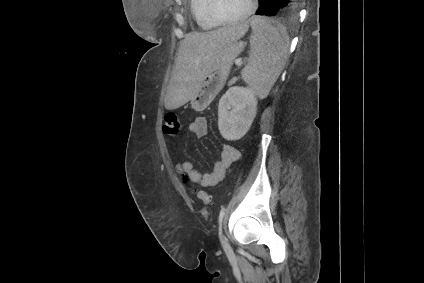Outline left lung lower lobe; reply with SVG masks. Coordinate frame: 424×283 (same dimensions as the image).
Listing matches in <instances>:
<instances>
[{"mask_svg": "<svg viewBox=\"0 0 424 283\" xmlns=\"http://www.w3.org/2000/svg\"><path fill=\"white\" fill-rule=\"evenodd\" d=\"M257 15L274 16L280 11H295L300 0H258Z\"/></svg>", "mask_w": 424, "mask_h": 283, "instance_id": "1", "label": "left lung lower lobe"}]
</instances>
